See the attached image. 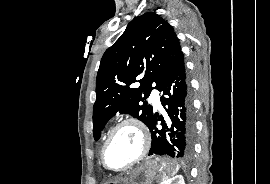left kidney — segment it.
Listing matches in <instances>:
<instances>
[{
	"label": "left kidney",
	"mask_w": 270,
	"mask_h": 184,
	"mask_svg": "<svg viewBox=\"0 0 270 184\" xmlns=\"http://www.w3.org/2000/svg\"><path fill=\"white\" fill-rule=\"evenodd\" d=\"M161 184H185L184 178L181 175H177L171 179H167Z\"/></svg>",
	"instance_id": "left-kidney-1"
}]
</instances>
